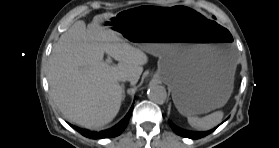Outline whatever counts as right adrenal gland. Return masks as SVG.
Returning <instances> with one entry per match:
<instances>
[{
	"label": "right adrenal gland",
	"instance_id": "obj_1",
	"mask_svg": "<svg viewBox=\"0 0 279 148\" xmlns=\"http://www.w3.org/2000/svg\"><path fill=\"white\" fill-rule=\"evenodd\" d=\"M125 99V90H124V85L122 84V100Z\"/></svg>",
	"mask_w": 279,
	"mask_h": 148
}]
</instances>
